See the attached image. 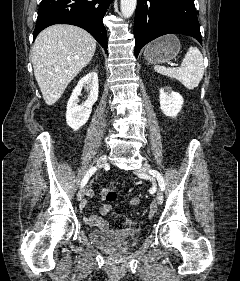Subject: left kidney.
I'll return each instance as SVG.
<instances>
[{
    "instance_id": "obj_1",
    "label": "left kidney",
    "mask_w": 240,
    "mask_h": 281,
    "mask_svg": "<svg viewBox=\"0 0 240 281\" xmlns=\"http://www.w3.org/2000/svg\"><path fill=\"white\" fill-rule=\"evenodd\" d=\"M160 109L168 117H176L183 105L182 96L170 87L160 89Z\"/></svg>"
}]
</instances>
